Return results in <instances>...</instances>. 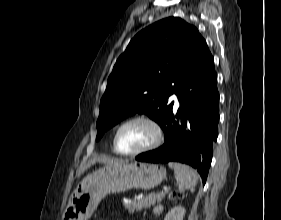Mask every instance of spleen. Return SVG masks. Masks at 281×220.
Masks as SVG:
<instances>
[{"label":"spleen","instance_id":"3e777b00","mask_svg":"<svg viewBox=\"0 0 281 220\" xmlns=\"http://www.w3.org/2000/svg\"><path fill=\"white\" fill-rule=\"evenodd\" d=\"M168 165L174 170L180 191L193 188L198 183L199 175L192 167L177 162H169Z\"/></svg>","mask_w":281,"mask_h":220}]
</instances>
